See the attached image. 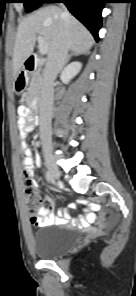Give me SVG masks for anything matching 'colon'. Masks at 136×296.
Instances as JSON below:
<instances>
[{"mask_svg": "<svg viewBox=\"0 0 136 296\" xmlns=\"http://www.w3.org/2000/svg\"><path fill=\"white\" fill-rule=\"evenodd\" d=\"M23 192L26 198V207L31 215V220L35 221L37 218V213L41 206V200L38 198L35 185L32 179L29 177L25 171V179L23 181Z\"/></svg>", "mask_w": 136, "mask_h": 296, "instance_id": "1", "label": "colon"}]
</instances>
